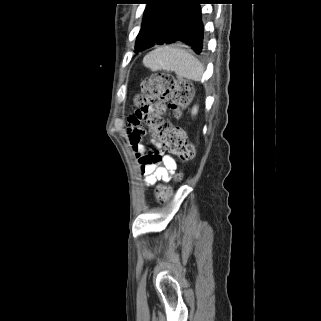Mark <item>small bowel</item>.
Returning <instances> with one entry per match:
<instances>
[{"instance_id":"small-bowel-1","label":"small bowel","mask_w":321,"mask_h":321,"mask_svg":"<svg viewBox=\"0 0 321 321\" xmlns=\"http://www.w3.org/2000/svg\"><path fill=\"white\" fill-rule=\"evenodd\" d=\"M164 110L163 105L149 106L136 110L128 118L129 143L138 159L146 185H153L157 181H168L170 174L176 169L175 160L171 156L161 153L159 144L153 138L154 149L147 150L143 144V138L147 134L144 123L150 126L149 132L152 136L151 122L154 118L162 115Z\"/></svg>"}]
</instances>
